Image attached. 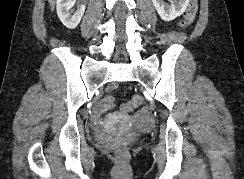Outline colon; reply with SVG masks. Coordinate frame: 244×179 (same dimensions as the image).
<instances>
[{"instance_id":"5ec220e1","label":"colon","mask_w":244,"mask_h":179,"mask_svg":"<svg viewBox=\"0 0 244 179\" xmlns=\"http://www.w3.org/2000/svg\"><path fill=\"white\" fill-rule=\"evenodd\" d=\"M200 0H193L187 6L185 13L183 15V19L181 21L182 28H186L190 26L196 15L199 11L198 3ZM101 101H104V106L108 109H116L115 97L114 96H101ZM143 103H146V98L144 95H135L132 98V101H125V104H121L122 112H131L132 109H139L140 106H143ZM128 151L126 147H118L116 150L115 157L116 158H126Z\"/></svg>"}]
</instances>
